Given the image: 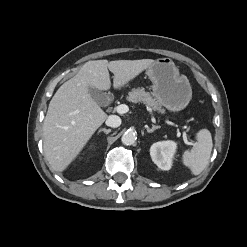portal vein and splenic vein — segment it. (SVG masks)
I'll return each mask as SVG.
<instances>
[{
  "instance_id": "18ae733b",
  "label": "portal vein and splenic vein",
  "mask_w": 247,
  "mask_h": 247,
  "mask_svg": "<svg viewBox=\"0 0 247 247\" xmlns=\"http://www.w3.org/2000/svg\"><path fill=\"white\" fill-rule=\"evenodd\" d=\"M115 109H116L117 113H119V114H124V113H127L129 111V107L125 104L118 105ZM183 139L187 145L190 144L187 140L186 132H183Z\"/></svg>"
}]
</instances>
